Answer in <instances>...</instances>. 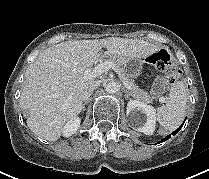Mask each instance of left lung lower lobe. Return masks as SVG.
<instances>
[{
  "label": "left lung lower lobe",
  "mask_w": 209,
  "mask_h": 179,
  "mask_svg": "<svg viewBox=\"0 0 209 179\" xmlns=\"http://www.w3.org/2000/svg\"><path fill=\"white\" fill-rule=\"evenodd\" d=\"M183 124H184V122L182 123V125H181L177 130H175V131L172 133V135H175V134L182 128ZM170 137H171V135L166 136V137H165L164 139H162L159 143L168 140Z\"/></svg>",
  "instance_id": "0a47b994"
}]
</instances>
